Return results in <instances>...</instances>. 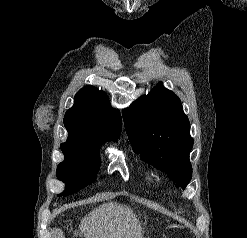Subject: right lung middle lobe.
<instances>
[{"label": "right lung middle lobe", "instance_id": "obj_1", "mask_svg": "<svg viewBox=\"0 0 247 238\" xmlns=\"http://www.w3.org/2000/svg\"><path fill=\"white\" fill-rule=\"evenodd\" d=\"M64 161L58 165L57 177L66 184L65 192L58 196H67L94 182L100 165L99 146L81 142L61 144Z\"/></svg>", "mask_w": 247, "mask_h": 238}]
</instances>
